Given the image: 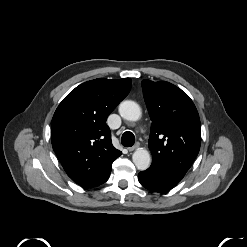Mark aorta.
<instances>
[{"mask_svg": "<svg viewBox=\"0 0 247 247\" xmlns=\"http://www.w3.org/2000/svg\"><path fill=\"white\" fill-rule=\"evenodd\" d=\"M119 114L126 120L137 121L141 118L142 112L140 106L136 102L126 100L120 103ZM132 160L139 170H146L151 164L150 154L144 148H137L132 155Z\"/></svg>", "mask_w": 247, "mask_h": 247, "instance_id": "aorta-1", "label": "aorta"}]
</instances>
